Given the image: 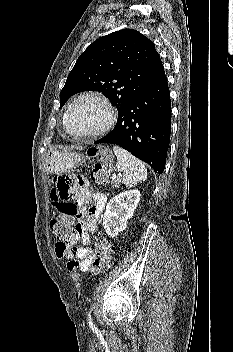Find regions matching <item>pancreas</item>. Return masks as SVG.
Here are the masks:
<instances>
[{
	"instance_id": "obj_1",
	"label": "pancreas",
	"mask_w": 233,
	"mask_h": 352,
	"mask_svg": "<svg viewBox=\"0 0 233 352\" xmlns=\"http://www.w3.org/2000/svg\"><path fill=\"white\" fill-rule=\"evenodd\" d=\"M121 184V179L117 178L111 182L112 188H119Z\"/></svg>"
}]
</instances>
